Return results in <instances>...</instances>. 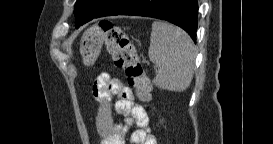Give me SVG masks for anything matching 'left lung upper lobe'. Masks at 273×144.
<instances>
[{"mask_svg":"<svg viewBox=\"0 0 273 144\" xmlns=\"http://www.w3.org/2000/svg\"><path fill=\"white\" fill-rule=\"evenodd\" d=\"M96 2V0H77L75 8H74V13L81 9L82 7L88 5H93Z\"/></svg>","mask_w":273,"mask_h":144,"instance_id":"obj_1","label":"left lung upper lobe"}]
</instances>
